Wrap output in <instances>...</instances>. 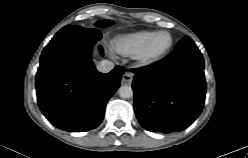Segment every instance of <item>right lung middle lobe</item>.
I'll return each instance as SVG.
<instances>
[{
	"label": "right lung middle lobe",
	"instance_id": "1",
	"mask_svg": "<svg viewBox=\"0 0 248 158\" xmlns=\"http://www.w3.org/2000/svg\"><path fill=\"white\" fill-rule=\"evenodd\" d=\"M114 22L111 20H101L95 23V26L97 27H106V26H110L112 25ZM72 29H83L81 26L78 25H67L65 27H63L60 31H64V30H72Z\"/></svg>",
	"mask_w": 248,
	"mask_h": 158
}]
</instances>
